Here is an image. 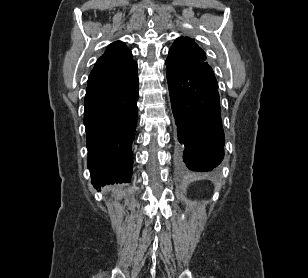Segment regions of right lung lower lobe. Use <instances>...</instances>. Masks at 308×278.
Here are the masks:
<instances>
[{"mask_svg": "<svg viewBox=\"0 0 308 278\" xmlns=\"http://www.w3.org/2000/svg\"><path fill=\"white\" fill-rule=\"evenodd\" d=\"M137 100V73L119 87L86 91L84 124L94 187L130 181Z\"/></svg>", "mask_w": 308, "mask_h": 278, "instance_id": "obj_1", "label": "right lung lower lobe"}]
</instances>
